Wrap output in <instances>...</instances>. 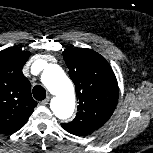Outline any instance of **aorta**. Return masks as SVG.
<instances>
[{"instance_id":"762f6f07","label":"aorta","mask_w":153,"mask_h":153,"mask_svg":"<svg viewBox=\"0 0 153 153\" xmlns=\"http://www.w3.org/2000/svg\"><path fill=\"white\" fill-rule=\"evenodd\" d=\"M42 83L54 95L51 110L59 119L69 118L75 109V93L71 80L62 68L56 64H49L41 75Z\"/></svg>"}]
</instances>
